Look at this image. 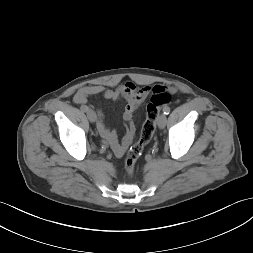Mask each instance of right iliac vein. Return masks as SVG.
<instances>
[{"mask_svg": "<svg viewBox=\"0 0 253 253\" xmlns=\"http://www.w3.org/2000/svg\"><path fill=\"white\" fill-rule=\"evenodd\" d=\"M87 117L90 120V122L94 123L96 121V113L93 110L87 111Z\"/></svg>", "mask_w": 253, "mask_h": 253, "instance_id": "1", "label": "right iliac vein"}]
</instances>
